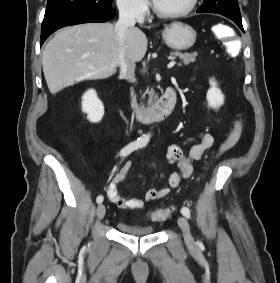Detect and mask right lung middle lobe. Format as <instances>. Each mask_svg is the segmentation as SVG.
<instances>
[{"label": "right lung middle lobe", "instance_id": "dd1d6c3e", "mask_svg": "<svg viewBox=\"0 0 280 283\" xmlns=\"http://www.w3.org/2000/svg\"><path fill=\"white\" fill-rule=\"evenodd\" d=\"M112 0H48L45 15L65 11H107L111 9Z\"/></svg>", "mask_w": 280, "mask_h": 283}]
</instances>
